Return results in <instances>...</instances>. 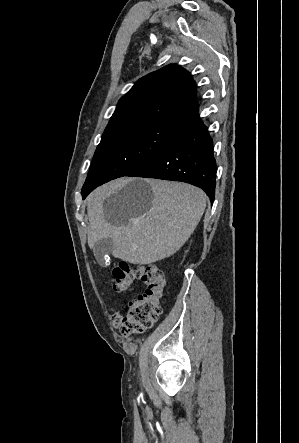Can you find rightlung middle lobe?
I'll return each instance as SVG.
<instances>
[{
    "label": "right lung middle lobe",
    "mask_w": 299,
    "mask_h": 443,
    "mask_svg": "<svg viewBox=\"0 0 299 443\" xmlns=\"http://www.w3.org/2000/svg\"><path fill=\"white\" fill-rule=\"evenodd\" d=\"M181 126V121L146 119L103 134L82 189L83 198L147 162L177 135Z\"/></svg>",
    "instance_id": "obj_1"
}]
</instances>
